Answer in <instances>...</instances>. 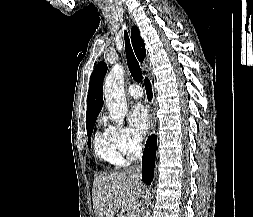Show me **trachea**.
Instances as JSON below:
<instances>
[{
  "instance_id": "1",
  "label": "trachea",
  "mask_w": 253,
  "mask_h": 217,
  "mask_svg": "<svg viewBox=\"0 0 253 217\" xmlns=\"http://www.w3.org/2000/svg\"><path fill=\"white\" fill-rule=\"evenodd\" d=\"M124 39H125L126 58H127V63H128L130 73L134 80L141 82L143 79L142 72H141L139 63L131 48L128 33L126 31L124 32Z\"/></svg>"
}]
</instances>
